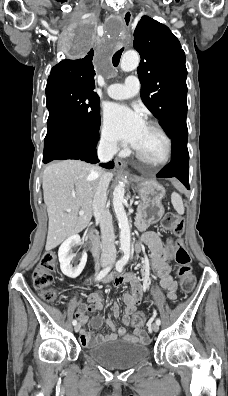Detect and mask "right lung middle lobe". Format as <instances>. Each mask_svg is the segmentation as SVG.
<instances>
[{
    "label": "right lung middle lobe",
    "instance_id": "obj_1",
    "mask_svg": "<svg viewBox=\"0 0 228 396\" xmlns=\"http://www.w3.org/2000/svg\"><path fill=\"white\" fill-rule=\"evenodd\" d=\"M93 44L91 33L81 29L72 52L84 55ZM46 98L49 110L47 134L65 132L85 146L98 134L100 100L92 89L69 80H48Z\"/></svg>",
    "mask_w": 228,
    "mask_h": 396
}]
</instances>
